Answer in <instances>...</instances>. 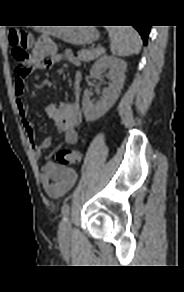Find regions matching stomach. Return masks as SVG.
Masks as SVG:
<instances>
[{"instance_id":"0dacf381","label":"stomach","mask_w":184,"mask_h":292,"mask_svg":"<svg viewBox=\"0 0 184 292\" xmlns=\"http://www.w3.org/2000/svg\"><path fill=\"white\" fill-rule=\"evenodd\" d=\"M55 30L57 38L74 45H84L99 38L98 31L91 27L61 26Z\"/></svg>"}]
</instances>
